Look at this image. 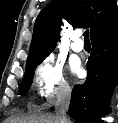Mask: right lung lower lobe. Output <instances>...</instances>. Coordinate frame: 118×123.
Wrapping results in <instances>:
<instances>
[{
	"label": "right lung lower lobe",
	"mask_w": 118,
	"mask_h": 123,
	"mask_svg": "<svg viewBox=\"0 0 118 123\" xmlns=\"http://www.w3.org/2000/svg\"><path fill=\"white\" fill-rule=\"evenodd\" d=\"M88 75L72 91L68 114L78 123H99L118 82V27L92 41Z\"/></svg>",
	"instance_id": "right-lung-lower-lobe-1"
}]
</instances>
